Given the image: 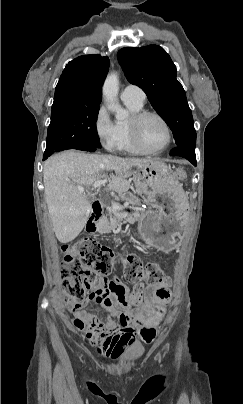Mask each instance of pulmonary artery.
<instances>
[{
  "label": "pulmonary artery",
  "instance_id": "pulmonary-artery-1",
  "mask_svg": "<svg viewBox=\"0 0 243 404\" xmlns=\"http://www.w3.org/2000/svg\"><path fill=\"white\" fill-rule=\"evenodd\" d=\"M121 98H136L137 100L144 102L146 95L140 87L134 84H127L122 87Z\"/></svg>",
  "mask_w": 243,
  "mask_h": 404
}]
</instances>
